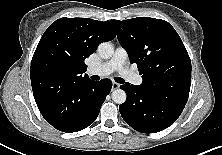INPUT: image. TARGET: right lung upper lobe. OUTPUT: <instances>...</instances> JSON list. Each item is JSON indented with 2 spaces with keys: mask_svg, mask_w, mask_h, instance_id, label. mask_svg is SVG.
Segmentation results:
<instances>
[{
  "mask_svg": "<svg viewBox=\"0 0 222 155\" xmlns=\"http://www.w3.org/2000/svg\"><path fill=\"white\" fill-rule=\"evenodd\" d=\"M112 20L97 21L89 18H60L44 32L34 52L30 77L32 89L46 85L66 88L89 79L84 74V60L98 45L114 39Z\"/></svg>",
  "mask_w": 222,
  "mask_h": 155,
  "instance_id": "cb5924a9",
  "label": "right lung upper lobe"
}]
</instances>
